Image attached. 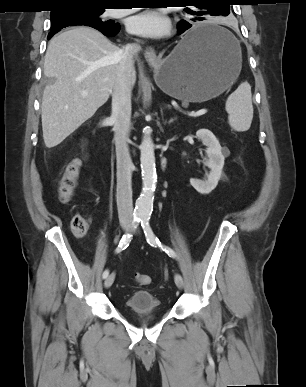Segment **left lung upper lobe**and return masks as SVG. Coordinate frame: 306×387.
<instances>
[{
	"instance_id": "obj_1",
	"label": "left lung upper lobe",
	"mask_w": 306,
	"mask_h": 387,
	"mask_svg": "<svg viewBox=\"0 0 306 387\" xmlns=\"http://www.w3.org/2000/svg\"><path fill=\"white\" fill-rule=\"evenodd\" d=\"M227 2V0H184V4L193 6L184 9L187 20L183 21L194 24L206 20L209 16H227L226 13L229 14L230 10Z\"/></svg>"
}]
</instances>
